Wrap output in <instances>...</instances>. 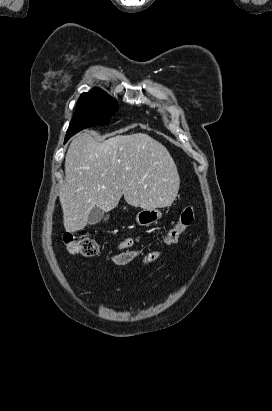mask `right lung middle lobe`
<instances>
[{
	"label": "right lung middle lobe",
	"mask_w": 272,
	"mask_h": 411,
	"mask_svg": "<svg viewBox=\"0 0 272 411\" xmlns=\"http://www.w3.org/2000/svg\"><path fill=\"white\" fill-rule=\"evenodd\" d=\"M118 110L117 102L104 91L83 93L67 130L65 139L80 130L108 123Z\"/></svg>",
	"instance_id": "right-lung-middle-lobe-1"
}]
</instances>
